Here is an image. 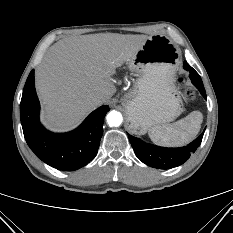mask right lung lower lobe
Listing matches in <instances>:
<instances>
[{
  "mask_svg": "<svg viewBox=\"0 0 233 233\" xmlns=\"http://www.w3.org/2000/svg\"><path fill=\"white\" fill-rule=\"evenodd\" d=\"M108 111V106L99 107L69 133L47 131L39 122L34 70L27 78L20 103L21 124L28 146L40 160L62 171L77 170L95 158L103 133V120Z\"/></svg>",
  "mask_w": 233,
  "mask_h": 233,
  "instance_id": "right-lung-lower-lobe-1",
  "label": "right lung lower lobe"
}]
</instances>
